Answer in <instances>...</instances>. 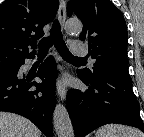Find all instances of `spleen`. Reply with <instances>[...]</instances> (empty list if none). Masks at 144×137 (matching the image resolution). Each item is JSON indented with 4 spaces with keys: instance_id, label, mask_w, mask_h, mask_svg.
I'll return each instance as SVG.
<instances>
[{
    "instance_id": "3e777b00",
    "label": "spleen",
    "mask_w": 144,
    "mask_h": 137,
    "mask_svg": "<svg viewBox=\"0 0 144 137\" xmlns=\"http://www.w3.org/2000/svg\"><path fill=\"white\" fill-rule=\"evenodd\" d=\"M95 137H144V133L125 125L106 124L97 130Z\"/></svg>"
}]
</instances>
